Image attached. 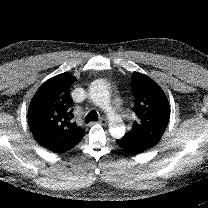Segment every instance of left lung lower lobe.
<instances>
[{"label":"left lung lower lobe","mask_w":208,"mask_h":208,"mask_svg":"<svg viewBox=\"0 0 208 208\" xmlns=\"http://www.w3.org/2000/svg\"><path fill=\"white\" fill-rule=\"evenodd\" d=\"M119 146L128 153L139 154L148 150L144 145L138 144L131 140L122 138L120 140H116Z\"/></svg>","instance_id":"obj_1"}]
</instances>
